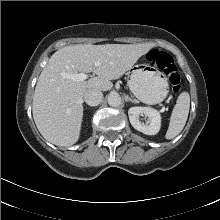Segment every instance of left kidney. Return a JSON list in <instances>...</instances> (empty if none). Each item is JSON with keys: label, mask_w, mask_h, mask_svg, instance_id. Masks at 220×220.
<instances>
[{"label": "left kidney", "mask_w": 220, "mask_h": 220, "mask_svg": "<svg viewBox=\"0 0 220 220\" xmlns=\"http://www.w3.org/2000/svg\"><path fill=\"white\" fill-rule=\"evenodd\" d=\"M129 120L131 125L137 130L146 135H155L161 127L160 113L151 107H131L128 110ZM145 115L149 118V123H141L139 116Z\"/></svg>", "instance_id": "1"}]
</instances>
